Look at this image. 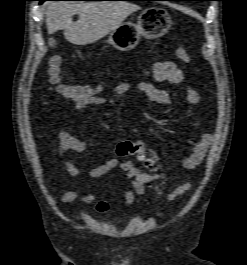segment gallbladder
Masks as SVG:
<instances>
[{
    "instance_id": "bac80fb5",
    "label": "gallbladder",
    "mask_w": 247,
    "mask_h": 265,
    "mask_svg": "<svg viewBox=\"0 0 247 265\" xmlns=\"http://www.w3.org/2000/svg\"><path fill=\"white\" fill-rule=\"evenodd\" d=\"M53 41H54V40H53L52 38L49 39V45H51Z\"/></svg>"
}]
</instances>
